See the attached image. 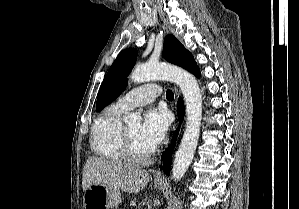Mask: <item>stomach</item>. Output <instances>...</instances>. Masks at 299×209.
<instances>
[{
	"instance_id": "1",
	"label": "stomach",
	"mask_w": 299,
	"mask_h": 209,
	"mask_svg": "<svg viewBox=\"0 0 299 209\" xmlns=\"http://www.w3.org/2000/svg\"><path fill=\"white\" fill-rule=\"evenodd\" d=\"M155 188L162 189L163 184L155 182ZM84 209H112L121 202V193L116 188L102 184H92L84 194Z\"/></svg>"
}]
</instances>
